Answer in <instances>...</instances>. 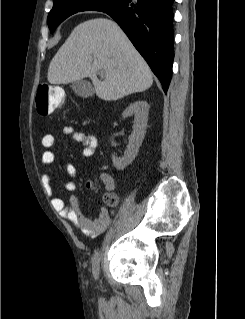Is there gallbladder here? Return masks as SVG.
<instances>
[{
  "label": "gallbladder",
  "instance_id": "1",
  "mask_svg": "<svg viewBox=\"0 0 245 319\" xmlns=\"http://www.w3.org/2000/svg\"><path fill=\"white\" fill-rule=\"evenodd\" d=\"M70 87L74 93L80 97L88 98L94 95L93 86L86 80L72 82Z\"/></svg>",
  "mask_w": 245,
  "mask_h": 319
}]
</instances>
